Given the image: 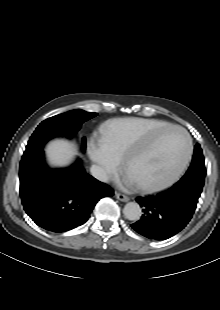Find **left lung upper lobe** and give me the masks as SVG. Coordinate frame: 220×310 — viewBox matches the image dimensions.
I'll list each match as a JSON object with an SVG mask.
<instances>
[{
	"label": "left lung upper lobe",
	"mask_w": 220,
	"mask_h": 310,
	"mask_svg": "<svg viewBox=\"0 0 220 310\" xmlns=\"http://www.w3.org/2000/svg\"><path fill=\"white\" fill-rule=\"evenodd\" d=\"M206 175L204 157L199 144L195 145L192 163L186 174L178 181L181 184H194L203 187Z\"/></svg>",
	"instance_id": "1"
}]
</instances>
